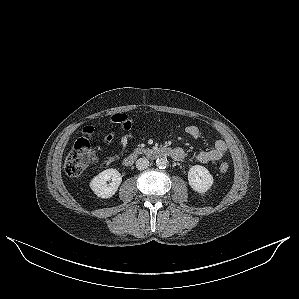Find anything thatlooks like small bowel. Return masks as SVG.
Segmentation results:
<instances>
[{"mask_svg":"<svg viewBox=\"0 0 299 299\" xmlns=\"http://www.w3.org/2000/svg\"><path fill=\"white\" fill-rule=\"evenodd\" d=\"M110 123L120 125L122 130H128L131 127V120L127 115L124 114H115L110 118ZM185 132L192 137L193 139H198L200 137V130L195 125H189L185 128ZM83 136L92 139L95 134V128L91 125H87L82 130ZM115 133L110 132L103 137V143L105 145L111 144L115 139ZM176 150L175 159L180 161L184 159L185 152L182 148H174ZM227 153V145L223 140H216L214 142L213 148L207 151H200L194 155V159L200 163H207L212 161H219Z\"/></svg>","mask_w":299,"mask_h":299,"instance_id":"small-bowel-1","label":"small bowel"}]
</instances>
